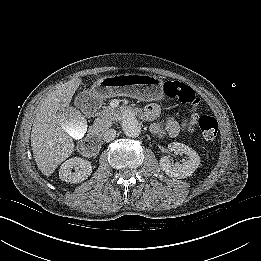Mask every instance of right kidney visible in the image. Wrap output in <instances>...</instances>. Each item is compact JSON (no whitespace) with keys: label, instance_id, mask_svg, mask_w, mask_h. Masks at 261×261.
<instances>
[{"label":"right kidney","instance_id":"obj_1","mask_svg":"<svg viewBox=\"0 0 261 261\" xmlns=\"http://www.w3.org/2000/svg\"><path fill=\"white\" fill-rule=\"evenodd\" d=\"M84 128L79 133V137H82L84 134ZM75 172H72V170ZM92 172L91 162L79 158L73 157L66 160L60 167L59 177L61 180L68 183H79L87 179Z\"/></svg>","mask_w":261,"mask_h":261}]
</instances>
